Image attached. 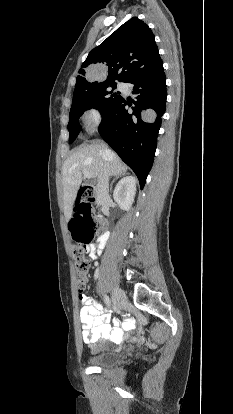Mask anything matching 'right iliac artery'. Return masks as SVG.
<instances>
[{"label":"right iliac artery","instance_id":"right-iliac-artery-1","mask_svg":"<svg viewBox=\"0 0 233 414\" xmlns=\"http://www.w3.org/2000/svg\"><path fill=\"white\" fill-rule=\"evenodd\" d=\"M104 300H105L107 306L110 307L111 306V301H110V299L107 295H104Z\"/></svg>","mask_w":233,"mask_h":414}]
</instances>
